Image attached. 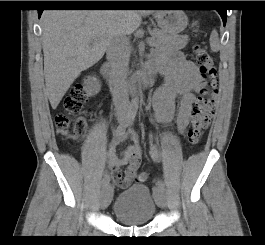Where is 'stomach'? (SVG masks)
Returning <instances> with one entry per match:
<instances>
[{"mask_svg":"<svg viewBox=\"0 0 265 245\" xmlns=\"http://www.w3.org/2000/svg\"><path fill=\"white\" fill-rule=\"evenodd\" d=\"M158 26L166 33L177 35L188 25V18L182 10H161L155 13Z\"/></svg>","mask_w":265,"mask_h":245,"instance_id":"0dacf381","label":"stomach"}]
</instances>
